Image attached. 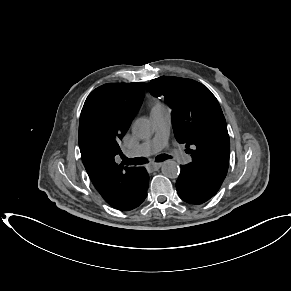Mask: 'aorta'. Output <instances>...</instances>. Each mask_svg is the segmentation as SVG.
Instances as JSON below:
<instances>
[{
  "label": "aorta",
  "mask_w": 291,
  "mask_h": 291,
  "mask_svg": "<svg viewBox=\"0 0 291 291\" xmlns=\"http://www.w3.org/2000/svg\"><path fill=\"white\" fill-rule=\"evenodd\" d=\"M132 132L136 137L146 139L152 136L154 130L148 119L139 118L133 123ZM161 169L162 173L169 178H176L180 172L178 164L173 160L165 161Z\"/></svg>",
  "instance_id": "obj_1"
}]
</instances>
